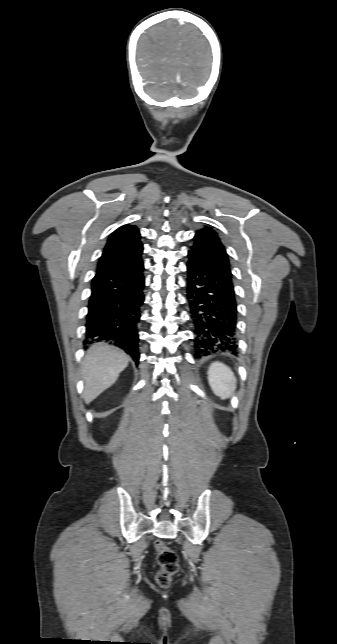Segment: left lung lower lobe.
Returning <instances> with one entry per match:
<instances>
[{"mask_svg": "<svg viewBox=\"0 0 337 644\" xmlns=\"http://www.w3.org/2000/svg\"><path fill=\"white\" fill-rule=\"evenodd\" d=\"M186 298L195 356L235 351L237 302L232 280L211 261L188 252Z\"/></svg>", "mask_w": 337, "mask_h": 644, "instance_id": "1", "label": "left lung lower lobe"}]
</instances>
